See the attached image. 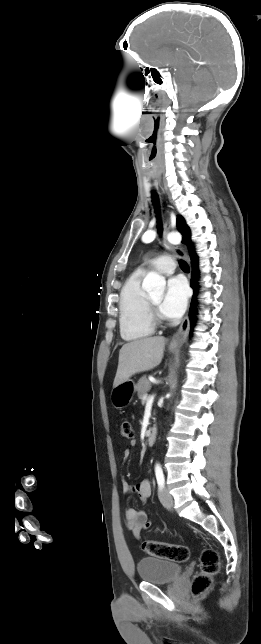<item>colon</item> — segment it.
I'll list each match as a JSON object with an SVG mask.
<instances>
[{
	"instance_id": "1",
	"label": "colon",
	"mask_w": 261,
	"mask_h": 644,
	"mask_svg": "<svg viewBox=\"0 0 261 644\" xmlns=\"http://www.w3.org/2000/svg\"><path fill=\"white\" fill-rule=\"evenodd\" d=\"M121 436L130 439L134 436L132 424L124 420L121 424ZM142 549L150 556L174 561L186 562L190 557L189 548L185 545L147 540ZM219 571V555L212 548L204 549L200 556V570L193 578L191 590L194 596L204 594L212 585L213 577Z\"/></svg>"
}]
</instances>
